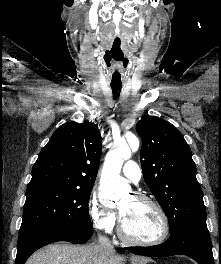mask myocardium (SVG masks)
Returning a JSON list of instances; mask_svg holds the SVG:
<instances>
[{"instance_id": "myocardium-1", "label": "myocardium", "mask_w": 221, "mask_h": 264, "mask_svg": "<svg viewBox=\"0 0 221 264\" xmlns=\"http://www.w3.org/2000/svg\"><path fill=\"white\" fill-rule=\"evenodd\" d=\"M133 198L139 202H146V203L152 205L156 209V211L158 212V214L161 218V221H162V232H161V235L157 239L152 240V241L137 240V239L131 237L127 233V231L124 228L121 217H120L119 218V227H118V233H119L120 238L128 244L136 245V246H143V247H153V246H158V245L164 243L170 234V222H169L168 215H167L166 211L164 210V208L154 198L149 197V196L144 195V194L135 195V196H133Z\"/></svg>"}]
</instances>
